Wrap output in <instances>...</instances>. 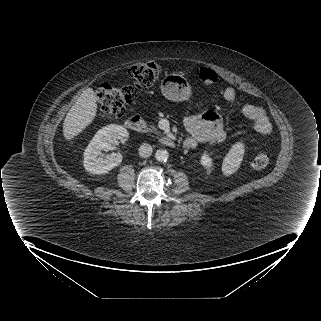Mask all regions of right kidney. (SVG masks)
<instances>
[{
    "label": "right kidney",
    "instance_id": "ca27d5eb",
    "mask_svg": "<svg viewBox=\"0 0 321 321\" xmlns=\"http://www.w3.org/2000/svg\"><path fill=\"white\" fill-rule=\"evenodd\" d=\"M128 136L127 130L120 125L110 124L100 129L90 141L84 152V168L93 174H105L122 162L120 153L98 157L101 151H109L114 143Z\"/></svg>",
    "mask_w": 321,
    "mask_h": 321
}]
</instances>
